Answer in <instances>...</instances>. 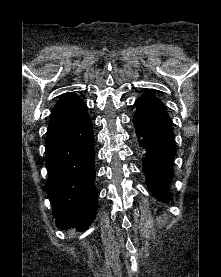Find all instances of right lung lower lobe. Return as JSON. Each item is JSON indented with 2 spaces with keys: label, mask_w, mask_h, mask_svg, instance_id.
Here are the masks:
<instances>
[{
  "label": "right lung lower lobe",
  "mask_w": 221,
  "mask_h": 277,
  "mask_svg": "<svg viewBox=\"0 0 221 277\" xmlns=\"http://www.w3.org/2000/svg\"><path fill=\"white\" fill-rule=\"evenodd\" d=\"M94 134L87 106L66 93L54 106L46 138L47 195L59 227L85 230L97 211Z\"/></svg>",
  "instance_id": "1"
}]
</instances>
